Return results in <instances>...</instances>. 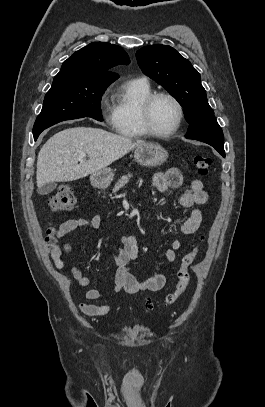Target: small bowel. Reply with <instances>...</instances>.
<instances>
[{"label": "small bowel", "mask_w": 265, "mask_h": 407, "mask_svg": "<svg viewBox=\"0 0 265 407\" xmlns=\"http://www.w3.org/2000/svg\"><path fill=\"white\" fill-rule=\"evenodd\" d=\"M152 183L159 192H166L170 188H178L183 183V177L178 169L171 168L165 173H155L152 176ZM209 201V195L204 190V184L200 179H194L182 193L180 203L182 207L191 209L190 215L181 223L180 231L184 236L194 234L200 227L202 222V212L198 208L204 206ZM101 226V218L98 215L89 218L79 217L69 219L63 222L57 230V237L63 238L67 234L79 229L85 228L89 230H97ZM183 246L181 239H175L171 242V246L164 254V263L172 264L176 259V251ZM54 265L57 269H62L64 266L61 260V252L56 250L51 253ZM139 256L138 242L133 235H124L119 238L118 250L114 255L116 265V275L114 279V288L111 292L105 293L91 286V281L86 277L81 270L73 266L70 269L72 278L81 286L86 288L85 298L88 301H102L120 292L135 294L146 291H158L162 289L166 283V275L157 273L145 280H138L129 269V262L136 260ZM115 306L109 303H79L80 311L86 316H105L109 314Z\"/></svg>", "instance_id": "1"}]
</instances>
